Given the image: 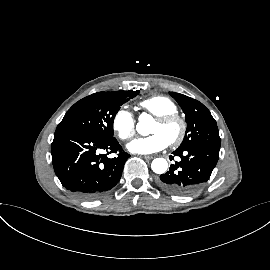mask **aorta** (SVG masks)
<instances>
[{
    "label": "aorta",
    "instance_id": "obj_1",
    "mask_svg": "<svg viewBox=\"0 0 270 270\" xmlns=\"http://www.w3.org/2000/svg\"><path fill=\"white\" fill-rule=\"evenodd\" d=\"M153 118L148 114H142L139 117V122L136 125L137 132L143 136H147L150 133V126ZM153 172L157 174H163L167 171L168 163L164 158H156L151 163Z\"/></svg>",
    "mask_w": 270,
    "mask_h": 270
}]
</instances>
